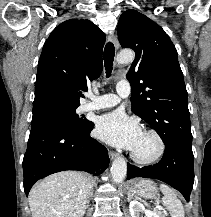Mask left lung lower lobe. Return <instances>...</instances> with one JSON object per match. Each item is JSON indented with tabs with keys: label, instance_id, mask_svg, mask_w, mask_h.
<instances>
[{
	"label": "left lung lower lobe",
	"instance_id": "1",
	"mask_svg": "<svg viewBox=\"0 0 211 217\" xmlns=\"http://www.w3.org/2000/svg\"><path fill=\"white\" fill-rule=\"evenodd\" d=\"M163 158L153 166L139 168L127 164V179L155 178L179 190L189 201L194 183L192 144L179 140L164 142Z\"/></svg>",
	"mask_w": 211,
	"mask_h": 217
}]
</instances>
